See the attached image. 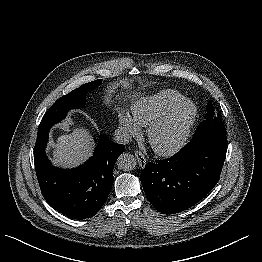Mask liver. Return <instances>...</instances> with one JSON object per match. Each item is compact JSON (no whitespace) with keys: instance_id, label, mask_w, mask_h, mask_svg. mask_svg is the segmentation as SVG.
Returning a JSON list of instances; mask_svg holds the SVG:
<instances>
[{"instance_id":"1","label":"liver","mask_w":262,"mask_h":262,"mask_svg":"<svg viewBox=\"0 0 262 262\" xmlns=\"http://www.w3.org/2000/svg\"><path fill=\"white\" fill-rule=\"evenodd\" d=\"M137 96L138 93H135L131 97ZM94 144L90 132L84 127L77 126L57 138L53 145V162L60 167H75L91 156Z\"/></svg>"}]
</instances>
